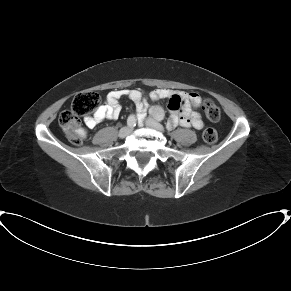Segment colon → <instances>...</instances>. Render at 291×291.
<instances>
[{
  "instance_id": "5ec220e1",
  "label": "colon",
  "mask_w": 291,
  "mask_h": 291,
  "mask_svg": "<svg viewBox=\"0 0 291 291\" xmlns=\"http://www.w3.org/2000/svg\"><path fill=\"white\" fill-rule=\"evenodd\" d=\"M99 102V95L96 92L82 91L73 98L70 108L61 112L59 125L72 144H82L84 136L81 135L79 118L91 114L98 107ZM170 107L175 108V105L171 104ZM202 108L210 120H219L220 109L212 99H205ZM216 139L217 132L215 129L207 128L204 130L203 140L205 143L212 144Z\"/></svg>"
}]
</instances>
